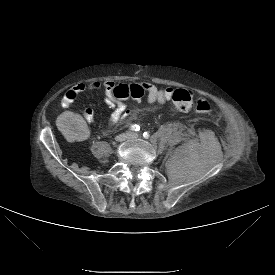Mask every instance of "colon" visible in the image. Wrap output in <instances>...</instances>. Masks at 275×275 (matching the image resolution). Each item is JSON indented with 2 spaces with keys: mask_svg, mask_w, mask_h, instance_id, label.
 Instances as JSON below:
<instances>
[{
  "mask_svg": "<svg viewBox=\"0 0 275 275\" xmlns=\"http://www.w3.org/2000/svg\"><path fill=\"white\" fill-rule=\"evenodd\" d=\"M114 95L118 98H131L139 100L144 95V90L139 85L118 86L114 90ZM173 102L178 110L182 112L194 110L202 114H210L213 111L212 104L203 96H195L187 89H178L172 96Z\"/></svg>",
  "mask_w": 275,
  "mask_h": 275,
  "instance_id": "colon-1",
  "label": "colon"
}]
</instances>
